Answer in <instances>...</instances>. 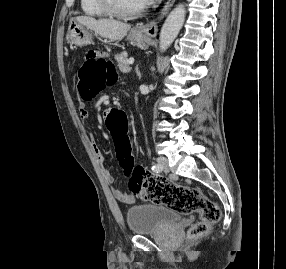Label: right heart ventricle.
Instances as JSON below:
<instances>
[{
  "mask_svg": "<svg viewBox=\"0 0 286 269\" xmlns=\"http://www.w3.org/2000/svg\"><path fill=\"white\" fill-rule=\"evenodd\" d=\"M81 10L84 15L94 18H104L107 14L100 8L97 0H80Z\"/></svg>",
  "mask_w": 286,
  "mask_h": 269,
  "instance_id": "e07e8e85",
  "label": "right heart ventricle"
}]
</instances>
